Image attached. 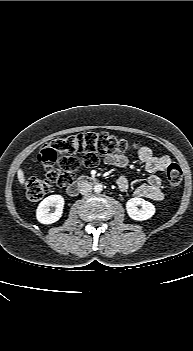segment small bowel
<instances>
[{
  "instance_id": "obj_1",
  "label": "small bowel",
  "mask_w": 193,
  "mask_h": 351,
  "mask_svg": "<svg viewBox=\"0 0 193 351\" xmlns=\"http://www.w3.org/2000/svg\"><path fill=\"white\" fill-rule=\"evenodd\" d=\"M137 155L141 163L144 165L145 170L150 175L143 184L139 185L134 190V195L152 201H161L163 199L161 181L156 173L162 172L166 169L170 163V158L167 155H155L152 149L147 146L141 147ZM104 163L114 167H126L130 163V158L125 154H111L104 157ZM117 185L120 191H127L129 188L128 178L125 176L119 177Z\"/></svg>"
}]
</instances>
